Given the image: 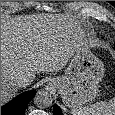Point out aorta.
Here are the masks:
<instances>
[{"mask_svg": "<svg viewBox=\"0 0 115 115\" xmlns=\"http://www.w3.org/2000/svg\"><path fill=\"white\" fill-rule=\"evenodd\" d=\"M52 96L47 91H40L34 97V102L39 108H47L52 104Z\"/></svg>", "mask_w": 115, "mask_h": 115, "instance_id": "obj_1", "label": "aorta"}]
</instances>
